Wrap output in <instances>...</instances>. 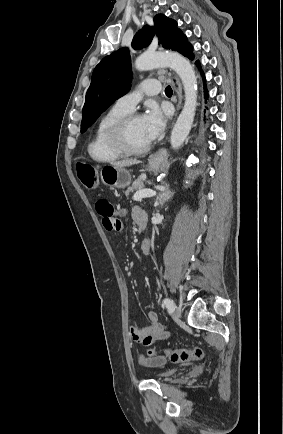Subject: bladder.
<instances>
[{"mask_svg":"<svg viewBox=\"0 0 283 434\" xmlns=\"http://www.w3.org/2000/svg\"><path fill=\"white\" fill-rule=\"evenodd\" d=\"M175 371L174 370H165L163 372H160L156 375V378L158 379H166L170 377Z\"/></svg>","mask_w":283,"mask_h":434,"instance_id":"1","label":"bladder"}]
</instances>
